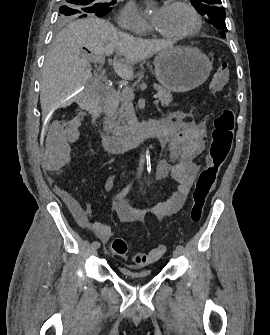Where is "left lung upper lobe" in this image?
I'll return each instance as SVG.
<instances>
[{
	"mask_svg": "<svg viewBox=\"0 0 270 335\" xmlns=\"http://www.w3.org/2000/svg\"><path fill=\"white\" fill-rule=\"evenodd\" d=\"M191 3L222 36L226 37L225 32L228 30L225 24V10L220 6L221 0H191Z\"/></svg>",
	"mask_w": 270,
	"mask_h": 335,
	"instance_id": "1",
	"label": "left lung upper lobe"
}]
</instances>
